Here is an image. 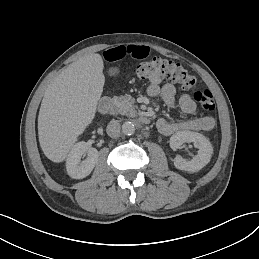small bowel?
<instances>
[{
    "label": "small bowel",
    "instance_id": "c3829d8e",
    "mask_svg": "<svg viewBox=\"0 0 259 259\" xmlns=\"http://www.w3.org/2000/svg\"><path fill=\"white\" fill-rule=\"evenodd\" d=\"M149 55V48L142 45H118L108 48L102 52V58L107 62L119 61L125 57L135 60L144 59ZM147 92L150 96H160L168 108L176 103V88L172 83L159 85L152 83L148 86ZM181 110L187 115H193L197 110L196 102L189 94H182L178 100ZM215 119L212 116L193 117L183 120L170 121L160 118L157 121L158 131L166 136L180 131H209L215 126Z\"/></svg>",
    "mask_w": 259,
    "mask_h": 259
}]
</instances>
